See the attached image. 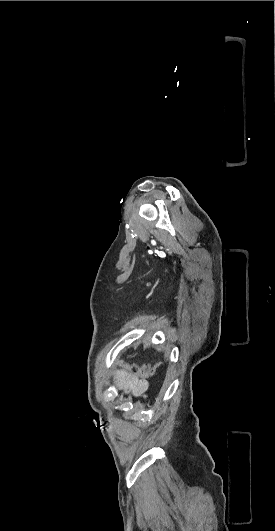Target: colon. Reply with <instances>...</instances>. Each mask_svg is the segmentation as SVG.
Returning a JSON list of instances; mask_svg holds the SVG:
<instances>
[{"instance_id":"obj_1","label":"colon","mask_w":275,"mask_h":531,"mask_svg":"<svg viewBox=\"0 0 275 531\" xmlns=\"http://www.w3.org/2000/svg\"><path fill=\"white\" fill-rule=\"evenodd\" d=\"M123 367L126 368L128 371L138 374L142 377H148L155 373L159 367L160 364H144V365H138L136 363H130V362H123Z\"/></svg>"}]
</instances>
